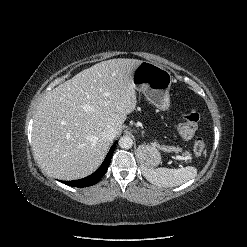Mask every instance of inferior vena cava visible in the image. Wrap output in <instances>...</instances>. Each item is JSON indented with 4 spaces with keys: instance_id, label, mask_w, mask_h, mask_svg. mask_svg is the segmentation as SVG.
I'll list each match as a JSON object with an SVG mask.
<instances>
[{
    "instance_id": "obj_1",
    "label": "inferior vena cava",
    "mask_w": 247,
    "mask_h": 247,
    "mask_svg": "<svg viewBox=\"0 0 247 247\" xmlns=\"http://www.w3.org/2000/svg\"><path fill=\"white\" fill-rule=\"evenodd\" d=\"M115 136H116L115 130L111 127L106 128L102 132V137L108 141H112L115 138Z\"/></svg>"
}]
</instances>
